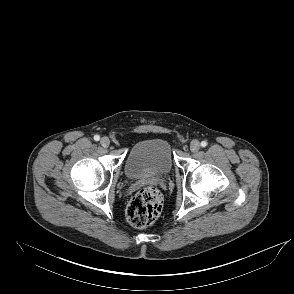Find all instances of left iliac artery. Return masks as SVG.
Wrapping results in <instances>:
<instances>
[{
  "label": "left iliac artery",
  "instance_id": "left-iliac-artery-1",
  "mask_svg": "<svg viewBox=\"0 0 294 294\" xmlns=\"http://www.w3.org/2000/svg\"><path fill=\"white\" fill-rule=\"evenodd\" d=\"M201 146H202V147H206V146H207V142H206V141H202V142H201Z\"/></svg>",
  "mask_w": 294,
  "mask_h": 294
}]
</instances>
